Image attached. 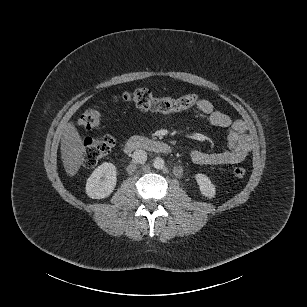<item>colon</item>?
<instances>
[{
  "label": "colon",
  "instance_id": "5ec220e1",
  "mask_svg": "<svg viewBox=\"0 0 307 307\" xmlns=\"http://www.w3.org/2000/svg\"><path fill=\"white\" fill-rule=\"evenodd\" d=\"M115 103H126L133 105L140 110L154 111L159 113H172L193 107L198 102L196 94H185L179 98L155 97L147 88H138L134 91H126L113 97ZM101 115L95 109L84 111L78 123L85 129H94L100 125ZM114 146V140L110 136L101 138H87L84 142V164L88 167L97 165L107 156ZM235 178L241 179L245 176L246 170L241 166H236L232 170Z\"/></svg>",
  "mask_w": 307,
  "mask_h": 307
}]
</instances>
